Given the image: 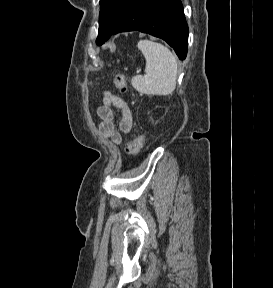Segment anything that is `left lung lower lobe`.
I'll list each match as a JSON object with an SVG mask.
<instances>
[{"label":"left lung lower lobe","mask_w":273,"mask_h":288,"mask_svg":"<svg viewBox=\"0 0 273 288\" xmlns=\"http://www.w3.org/2000/svg\"><path fill=\"white\" fill-rule=\"evenodd\" d=\"M140 31L166 41L184 60L188 47V26L180 0H133L114 34Z\"/></svg>","instance_id":"0a47b994"}]
</instances>
